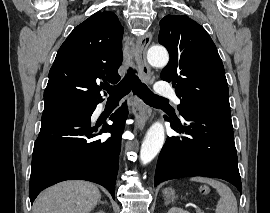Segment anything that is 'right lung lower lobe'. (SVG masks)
Returning <instances> with one entry per match:
<instances>
[{"label":"right lung lower lobe","mask_w":270,"mask_h":213,"mask_svg":"<svg viewBox=\"0 0 270 213\" xmlns=\"http://www.w3.org/2000/svg\"><path fill=\"white\" fill-rule=\"evenodd\" d=\"M99 102L86 111L43 112L32 157L31 203L43 189L75 179L98 183L115 198L121 134L128 109L124 103L110 116L113 124L104 125L97 132V127L91 126L90 118ZM107 132L111 133V137L97 139V136Z\"/></svg>","instance_id":"1"}]
</instances>
